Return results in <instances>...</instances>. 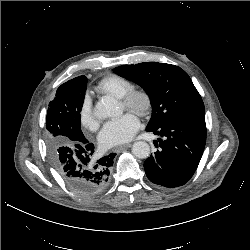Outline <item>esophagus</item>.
I'll return each instance as SVG.
<instances>
[{
	"mask_svg": "<svg viewBox=\"0 0 250 250\" xmlns=\"http://www.w3.org/2000/svg\"><path fill=\"white\" fill-rule=\"evenodd\" d=\"M129 147H131V144H125V145H121V146H117V147L113 148L112 151L115 153H118L124 149L129 148Z\"/></svg>",
	"mask_w": 250,
	"mask_h": 250,
	"instance_id": "obj_1",
	"label": "esophagus"
}]
</instances>
